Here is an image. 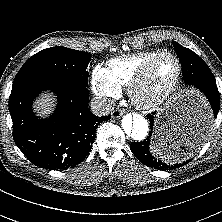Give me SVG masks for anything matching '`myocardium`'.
<instances>
[{"mask_svg": "<svg viewBox=\"0 0 222 222\" xmlns=\"http://www.w3.org/2000/svg\"><path fill=\"white\" fill-rule=\"evenodd\" d=\"M165 56L173 58L176 62L177 70L175 77L166 87H164L157 94L150 97H144L142 95V88L144 84L147 82L153 66L161 58ZM181 75H182V64L180 59L172 52L169 51L159 52L156 56H154L150 61L147 62V64L140 70V72L134 78V80L129 86V96L131 100L134 102V104L137 105L139 108H142L144 110L154 109L159 105H161L163 102H165L175 91L181 79Z\"/></svg>", "mask_w": 222, "mask_h": 222, "instance_id": "f54148a6", "label": "myocardium"}]
</instances>
